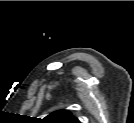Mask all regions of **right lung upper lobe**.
Listing matches in <instances>:
<instances>
[{
  "instance_id": "1",
  "label": "right lung upper lobe",
  "mask_w": 134,
  "mask_h": 123,
  "mask_svg": "<svg viewBox=\"0 0 134 123\" xmlns=\"http://www.w3.org/2000/svg\"><path fill=\"white\" fill-rule=\"evenodd\" d=\"M44 121L49 123H79L78 119L67 110L55 111L45 117Z\"/></svg>"
}]
</instances>
